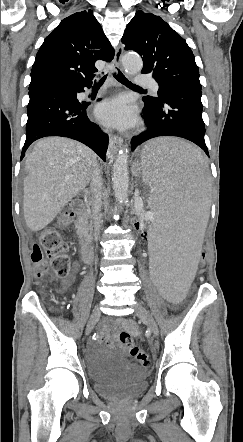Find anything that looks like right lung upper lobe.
<instances>
[{"mask_svg":"<svg viewBox=\"0 0 243 442\" xmlns=\"http://www.w3.org/2000/svg\"><path fill=\"white\" fill-rule=\"evenodd\" d=\"M114 50L92 11L70 15L46 37L31 69L30 87L92 82L97 60L111 61Z\"/></svg>","mask_w":243,"mask_h":442,"instance_id":"obj_1","label":"right lung upper lobe"}]
</instances>
